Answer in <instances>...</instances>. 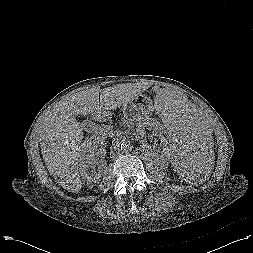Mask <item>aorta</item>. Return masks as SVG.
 <instances>
[{"label":"aorta","mask_w":253,"mask_h":253,"mask_svg":"<svg viewBox=\"0 0 253 253\" xmlns=\"http://www.w3.org/2000/svg\"><path fill=\"white\" fill-rule=\"evenodd\" d=\"M119 147L122 152L126 153L132 150V143L129 140H123L120 144Z\"/></svg>","instance_id":"obj_1"}]
</instances>
